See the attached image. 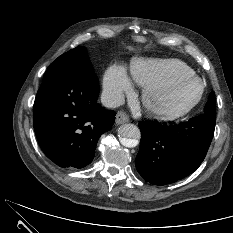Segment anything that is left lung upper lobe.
Segmentation results:
<instances>
[{"label":"left lung upper lobe","mask_w":233,"mask_h":233,"mask_svg":"<svg viewBox=\"0 0 233 233\" xmlns=\"http://www.w3.org/2000/svg\"><path fill=\"white\" fill-rule=\"evenodd\" d=\"M207 117H215V94L211 92L209 95V100L204 107V114Z\"/></svg>","instance_id":"obj_1"}]
</instances>
